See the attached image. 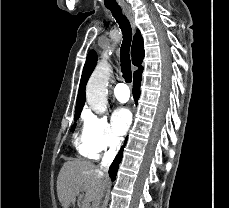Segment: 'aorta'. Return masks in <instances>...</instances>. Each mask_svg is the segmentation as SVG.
<instances>
[{
  "instance_id": "762f6f07",
  "label": "aorta",
  "mask_w": 229,
  "mask_h": 208,
  "mask_svg": "<svg viewBox=\"0 0 229 208\" xmlns=\"http://www.w3.org/2000/svg\"><path fill=\"white\" fill-rule=\"evenodd\" d=\"M110 68L107 63L98 64L86 86V100L91 109L102 114L107 110V86Z\"/></svg>"
}]
</instances>
